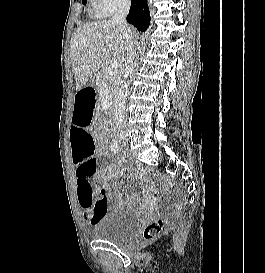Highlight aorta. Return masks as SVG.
<instances>
[{"label": "aorta", "instance_id": "aorta-1", "mask_svg": "<svg viewBox=\"0 0 265 273\" xmlns=\"http://www.w3.org/2000/svg\"><path fill=\"white\" fill-rule=\"evenodd\" d=\"M128 94V83L123 82L113 94V113L116 124L121 125L125 118V100Z\"/></svg>", "mask_w": 265, "mask_h": 273}]
</instances>
